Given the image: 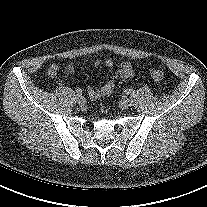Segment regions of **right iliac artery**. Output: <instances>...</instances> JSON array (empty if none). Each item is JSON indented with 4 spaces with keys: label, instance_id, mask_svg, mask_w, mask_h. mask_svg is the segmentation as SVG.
I'll use <instances>...</instances> for the list:
<instances>
[{
    "label": "right iliac artery",
    "instance_id": "82829eb1",
    "mask_svg": "<svg viewBox=\"0 0 207 207\" xmlns=\"http://www.w3.org/2000/svg\"><path fill=\"white\" fill-rule=\"evenodd\" d=\"M75 91H76L77 95L82 93V90L80 88H76Z\"/></svg>",
    "mask_w": 207,
    "mask_h": 207
}]
</instances>
